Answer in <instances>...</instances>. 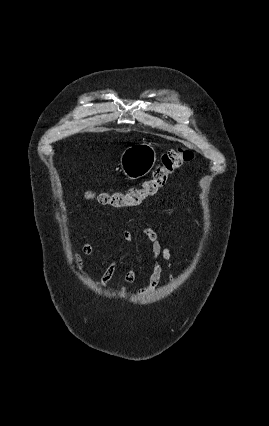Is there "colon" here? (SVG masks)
<instances>
[{"label": "colon", "instance_id": "1", "mask_svg": "<svg viewBox=\"0 0 269 426\" xmlns=\"http://www.w3.org/2000/svg\"><path fill=\"white\" fill-rule=\"evenodd\" d=\"M192 158V152L186 149L167 151L161 156L151 176L143 180L139 186L126 191L101 192L95 195V198L100 204L115 208L137 206L154 196L166 184L168 177Z\"/></svg>", "mask_w": 269, "mask_h": 426}]
</instances>
